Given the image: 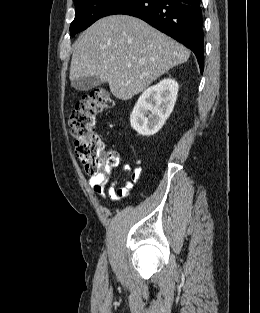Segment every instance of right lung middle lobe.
Here are the masks:
<instances>
[{
	"label": "right lung middle lobe",
	"instance_id": "obj_1",
	"mask_svg": "<svg viewBox=\"0 0 260 313\" xmlns=\"http://www.w3.org/2000/svg\"><path fill=\"white\" fill-rule=\"evenodd\" d=\"M75 3V19L70 25L71 36L85 30L119 0H73Z\"/></svg>",
	"mask_w": 260,
	"mask_h": 313
}]
</instances>
